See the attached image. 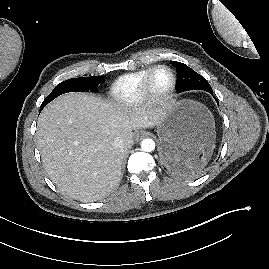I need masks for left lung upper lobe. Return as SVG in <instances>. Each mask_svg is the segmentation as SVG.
I'll use <instances>...</instances> for the list:
<instances>
[{
  "mask_svg": "<svg viewBox=\"0 0 269 269\" xmlns=\"http://www.w3.org/2000/svg\"><path fill=\"white\" fill-rule=\"evenodd\" d=\"M171 64L177 70V92L195 89L205 90L207 92L212 91L207 80L186 64L176 61H171Z\"/></svg>",
  "mask_w": 269,
  "mask_h": 269,
  "instance_id": "5c2ea615",
  "label": "left lung upper lobe"
}]
</instances>
